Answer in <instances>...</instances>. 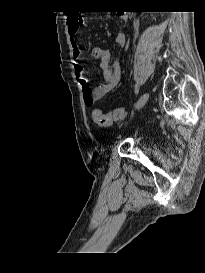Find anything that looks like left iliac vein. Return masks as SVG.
Listing matches in <instances>:
<instances>
[{
  "label": "left iliac vein",
  "mask_w": 205,
  "mask_h": 273,
  "mask_svg": "<svg viewBox=\"0 0 205 273\" xmlns=\"http://www.w3.org/2000/svg\"><path fill=\"white\" fill-rule=\"evenodd\" d=\"M148 99H149V93L146 92L143 95H141V97L139 98V100L137 101L135 105V110L141 109L147 103Z\"/></svg>",
  "instance_id": "left-iliac-vein-1"
}]
</instances>
